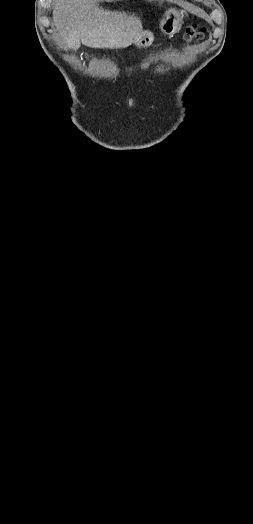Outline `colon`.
Listing matches in <instances>:
<instances>
[{"instance_id": "obj_1", "label": "colon", "mask_w": 253, "mask_h": 524, "mask_svg": "<svg viewBox=\"0 0 253 524\" xmlns=\"http://www.w3.org/2000/svg\"><path fill=\"white\" fill-rule=\"evenodd\" d=\"M206 34V29L200 25H193L186 30L185 41L187 43H198L204 39Z\"/></svg>"}]
</instances>
